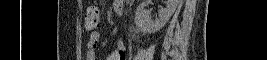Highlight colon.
<instances>
[{"instance_id": "obj_1", "label": "colon", "mask_w": 267, "mask_h": 60, "mask_svg": "<svg viewBox=\"0 0 267 60\" xmlns=\"http://www.w3.org/2000/svg\"><path fill=\"white\" fill-rule=\"evenodd\" d=\"M85 26L88 30L92 31L100 26L101 18L97 9L90 8L84 15Z\"/></svg>"}]
</instances>
